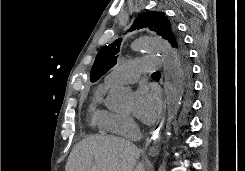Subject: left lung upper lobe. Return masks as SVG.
I'll use <instances>...</instances> for the list:
<instances>
[{
    "instance_id": "5c2ea615",
    "label": "left lung upper lobe",
    "mask_w": 245,
    "mask_h": 171,
    "mask_svg": "<svg viewBox=\"0 0 245 171\" xmlns=\"http://www.w3.org/2000/svg\"><path fill=\"white\" fill-rule=\"evenodd\" d=\"M149 28L155 31L163 39L167 40L174 48L178 61H189L183 42L176 32L175 26L170 23L164 12L147 11L135 19L130 31L136 28ZM121 39L102 47L95 59L90 73V81L95 82L112 68L116 62L120 50Z\"/></svg>"
}]
</instances>
